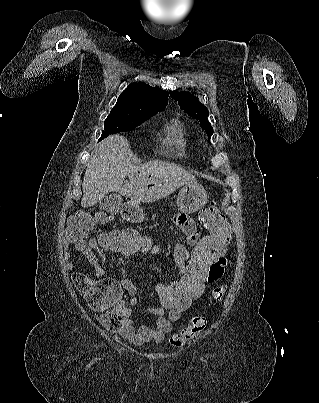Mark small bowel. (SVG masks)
Wrapping results in <instances>:
<instances>
[{
    "label": "small bowel",
    "instance_id": "c3829d8e",
    "mask_svg": "<svg viewBox=\"0 0 319 403\" xmlns=\"http://www.w3.org/2000/svg\"><path fill=\"white\" fill-rule=\"evenodd\" d=\"M174 223L188 237V239L183 240L182 244L176 245L173 252L178 272L183 275V267H186V259L189 254L188 247L190 245L194 246V242H198L200 234L194 221L185 214H177L174 217ZM68 239H70L69 236ZM69 249L65 247L66 267L68 271L75 272L77 267L69 261ZM86 256L95 271V279L89 280L86 300L90 309H103L104 315H102L101 321L104 324V328L107 329V334L120 335L132 344H141L151 340L156 342L163 341L165 335L172 328L171 323L179 320L182 313H157L156 308H150L149 311L158 316L157 328L153 330L146 326L136 327L131 320V309L127 306L128 296L122 295L125 290L133 298L132 302H135L137 287L134 282L129 278H124L121 280V285H118L117 279H101L105 271L94 252H86ZM225 261V255H222L215 262L210 263V276L206 280L208 285L219 282L224 271L223 265ZM173 282H177V280ZM156 292L159 296L160 291L156 290ZM165 314H167V317H165Z\"/></svg>",
    "mask_w": 319,
    "mask_h": 403
}]
</instances>
